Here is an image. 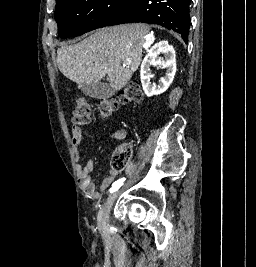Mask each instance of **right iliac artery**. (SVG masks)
<instances>
[{
	"label": "right iliac artery",
	"instance_id": "right-iliac-artery-1",
	"mask_svg": "<svg viewBox=\"0 0 256 267\" xmlns=\"http://www.w3.org/2000/svg\"><path fill=\"white\" fill-rule=\"evenodd\" d=\"M124 181H125V178H121L117 180L116 182H114L112 187L110 188V193L117 191L123 185Z\"/></svg>",
	"mask_w": 256,
	"mask_h": 267
}]
</instances>
